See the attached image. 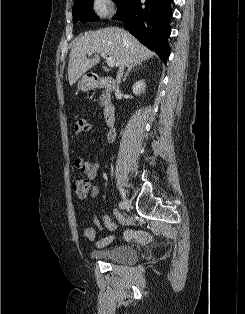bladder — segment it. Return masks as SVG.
I'll return each mask as SVG.
<instances>
[{"mask_svg": "<svg viewBox=\"0 0 245 314\" xmlns=\"http://www.w3.org/2000/svg\"><path fill=\"white\" fill-rule=\"evenodd\" d=\"M90 258L107 262L134 263L137 259V253L133 248L120 244L106 249L94 250L90 253Z\"/></svg>", "mask_w": 245, "mask_h": 314, "instance_id": "obj_1", "label": "bladder"}]
</instances>
